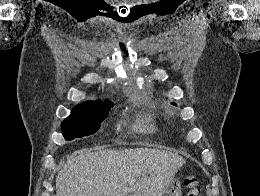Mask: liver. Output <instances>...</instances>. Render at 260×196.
Listing matches in <instances>:
<instances>
[{"mask_svg": "<svg viewBox=\"0 0 260 196\" xmlns=\"http://www.w3.org/2000/svg\"><path fill=\"white\" fill-rule=\"evenodd\" d=\"M185 160L155 148L78 150L56 180L57 196H163Z\"/></svg>", "mask_w": 260, "mask_h": 196, "instance_id": "1", "label": "liver"}]
</instances>
